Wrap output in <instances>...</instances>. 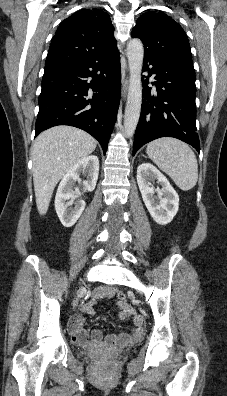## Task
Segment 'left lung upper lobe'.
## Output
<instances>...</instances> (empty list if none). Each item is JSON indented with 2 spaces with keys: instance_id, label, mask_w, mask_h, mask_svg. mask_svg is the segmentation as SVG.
<instances>
[{
  "instance_id": "left-lung-upper-lobe-1",
  "label": "left lung upper lobe",
  "mask_w": 227,
  "mask_h": 396,
  "mask_svg": "<svg viewBox=\"0 0 227 396\" xmlns=\"http://www.w3.org/2000/svg\"><path fill=\"white\" fill-rule=\"evenodd\" d=\"M144 44V54L180 61L193 66L190 45L182 27L165 13L141 15L131 33Z\"/></svg>"
}]
</instances>
